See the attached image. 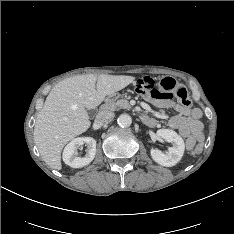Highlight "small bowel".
<instances>
[{
	"label": "small bowel",
	"mask_w": 234,
	"mask_h": 234,
	"mask_svg": "<svg viewBox=\"0 0 234 234\" xmlns=\"http://www.w3.org/2000/svg\"><path fill=\"white\" fill-rule=\"evenodd\" d=\"M143 98L153 103L158 108H173L177 115L169 118L167 124L171 129H176L181 135L187 138V144L190 148L197 141L203 139V124L200 121L201 110L197 107H184L177 104L170 98H154L149 93H141ZM144 121L151 127L157 126L154 118L145 116Z\"/></svg>",
	"instance_id": "small-bowel-1"
}]
</instances>
